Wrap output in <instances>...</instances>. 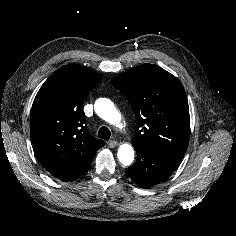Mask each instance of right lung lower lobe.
Listing matches in <instances>:
<instances>
[{
    "instance_id": "right-lung-lower-lobe-1",
    "label": "right lung lower lobe",
    "mask_w": 236,
    "mask_h": 236,
    "mask_svg": "<svg viewBox=\"0 0 236 236\" xmlns=\"http://www.w3.org/2000/svg\"><path fill=\"white\" fill-rule=\"evenodd\" d=\"M90 165H91V163H89V164H87V165H85V166H83L79 169L58 174L55 177L62 180V181H64V182L74 180V179L80 177L83 173H85L89 169Z\"/></svg>"
}]
</instances>
